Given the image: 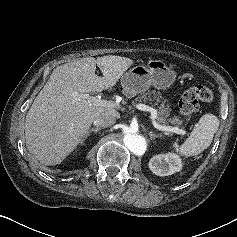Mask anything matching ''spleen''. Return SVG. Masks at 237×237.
I'll list each match as a JSON object with an SVG mask.
<instances>
[{
    "mask_svg": "<svg viewBox=\"0 0 237 237\" xmlns=\"http://www.w3.org/2000/svg\"><path fill=\"white\" fill-rule=\"evenodd\" d=\"M219 127L218 118L210 113L204 114L182 145L173 148L185 157L196 156L207 149Z\"/></svg>",
    "mask_w": 237,
    "mask_h": 237,
    "instance_id": "obj_1",
    "label": "spleen"
}]
</instances>
